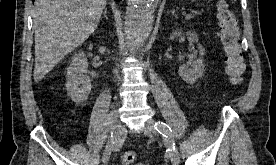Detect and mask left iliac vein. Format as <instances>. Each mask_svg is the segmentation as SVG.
<instances>
[{
  "label": "left iliac vein",
  "mask_w": 276,
  "mask_h": 165,
  "mask_svg": "<svg viewBox=\"0 0 276 165\" xmlns=\"http://www.w3.org/2000/svg\"><path fill=\"white\" fill-rule=\"evenodd\" d=\"M145 130H148V131H150L152 133H155V134L157 133L153 119H149L146 122ZM170 141L174 142L173 137L170 139ZM170 157H171V162H172L173 165H179L180 157H179V152H178L177 148L174 147V148L171 149Z\"/></svg>",
  "instance_id": "4c4485c4"
}]
</instances>
